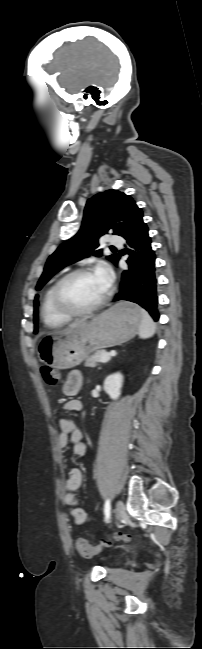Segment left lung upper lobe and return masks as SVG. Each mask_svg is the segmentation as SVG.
Segmentation results:
<instances>
[{"label":"left lung upper lobe","mask_w":202,"mask_h":649,"mask_svg":"<svg viewBox=\"0 0 202 649\" xmlns=\"http://www.w3.org/2000/svg\"><path fill=\"white\" fill-rule=\"evenodd\" d=\"M141 216H143L142 210L137 207L130 196L123 192L107 190L94 195L85 205L80 230L73 238L62 243L48 258L36 289L40 290L55 273L65 266L90 255H101L102 250H97L98 239L101 236L108 231H112L114 235L122 236L134 219ZM118 256V254H113L107 258L115 262ZM38 306L39 296L36 295L34 333L38 332Z\"/></svg>","instance_id":"5c2ea615"}]
</instances>
